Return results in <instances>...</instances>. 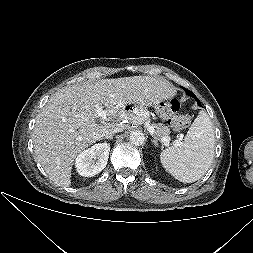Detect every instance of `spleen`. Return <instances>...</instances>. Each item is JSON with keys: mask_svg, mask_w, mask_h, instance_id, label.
Wrapping results in <instances>:
<instances>
[{"mask_svg": "<svg viewBox=\"0 0 253 253\" xmlns=\"http://www.w3.org/2000/svg\"><path fill=\"white\" fill-rule=\"evenodd\" d=\"M214 146L212 122L205 111H200L184 142L176 141L173 146L163 150L160 161L175 179L192 183L202 178L210 168Z\"/></svg>", "mask_w": 253, "mask_h": 253, "instance_id": "spleen-1", "label": "spleen"}]
</instances>
